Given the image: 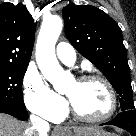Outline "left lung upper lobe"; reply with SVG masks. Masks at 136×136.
<instances>
[{
    "instance_id": "1",
    "label": "left lung upper lobe",
    "mask_w": 136,
    "mask_h": 136,
    "mask_svg": "<svg viewBox=\"0 0 136 136\" xmlns=\"http://www.w3.org/2000/svg\"><path fill=\"white\" fill-rule=\"evenodd\" d=\"M67 38L110 81L119 94L122 111L134 110L130 68L122 31L104 11L90 5L63 8Z\"/></svg>"
}]
</instances>
